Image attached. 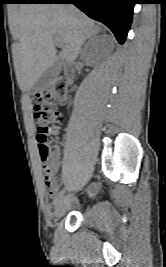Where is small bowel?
Returning <instances> with one entry per match:
<instances>
[{
	"label": "small bowel",
	"mask_w": 166,
	"mask_h": 267,
	"mask_svg": "<svg viewBox=\"0 0 166 267\" xmlns=\"http://www.w3.org/2000/svg\"><path fill=\"white\" fill-rule=\"evenodd\" d=\"M53 163H54V173L53 175L47 177L45 176V184L48 187V191L51 197H55L57 196V191H58V184L57 181L54 177L56 170L59 167V152L58 150H55V154H54V159H53ZM98 185L94 184L89 188V194L90 195H94L97 191H98Z\"/></svg>",
	"instance_id": "c3829d8e"
}]
</instances>
